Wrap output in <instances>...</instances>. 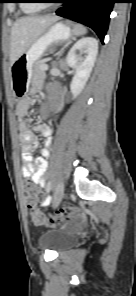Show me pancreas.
<instances>
[{"instance_id": "cf45deb5", "label": "pancreas", "mask_w": 136, "mask_h": 296, "mask_svg": "<svg viewBox=\"0 0 136 296\" xmlns=\"http://www.w3.org/2000/svg\"><path fill=\"white\" fill-rule=\"evenodd\" d=\"M44 66V64L42 62L37 63L35 66V77L36 78H41L45 76V72L42 69V67Z\"/></svg>"}]
</instances>
